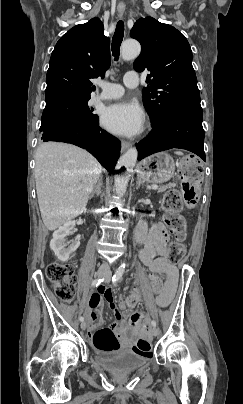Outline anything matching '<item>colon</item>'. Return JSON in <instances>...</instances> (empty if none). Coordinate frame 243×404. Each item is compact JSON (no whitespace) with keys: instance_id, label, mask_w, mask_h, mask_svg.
I'll return each instance as SVG.
<instances>
[{"instance_id":"1","label":"colon","mask_w":243,"mask_h":404,"mask_svg":"<svg viewBox=\"0 0 243 404\" xmlns=\"http://www.w3.org/2000/svg\"><path fill=\"white\" fill-rule=\"evenodd\" d=\"M181 186L179 189L169 190L163 198L162 207L165 212L164 221L175 235V241L167 246V261L178 263L185 255L186 225L180 214L184 205L194 207L200 197L202 184V169L193 157H185L180 164ZM46 276L51 281L57 297L63 301H70L75 291V270L71 263L54 261L46 268ZM162 281L155 275H150L146 284L134 290L129 296L120 301V307L126 315H132L133 309L145 293H160ZM93 345L96 349L111 352L119 348V341L111 328L97 330L93 335ZM151 341L140 338L136 348L142 353L151 351Z\"/></svg>"}]
</instances>
